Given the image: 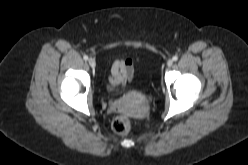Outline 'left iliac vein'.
Listing matches in <instances>:
<instances>
[{"instance_id": "left-iliac-vein-1", "label": "left iliac vein", "mask_w": 248, "mask_h": 165, "mask_svg": "<svg viewBox=\"0 0 248 165\" xmlns=\"http://www.w3.org/2000/svg\"><path fill=\"white\" fill-rule=\"evenodd\" d=\"M172 65H173V60L169 59V60L167 61V66H168V67H171Z\"/></svg>"}]
</instances>
